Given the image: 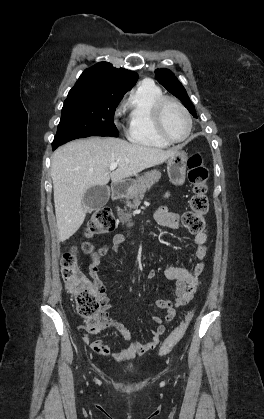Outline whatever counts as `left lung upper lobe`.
<instances>
[{
	"label": "left lung upper lobe",
	"mask_w": 264,
	"mask_h": 419,
	"mask_svg": "<svg viewBox=\"0 0 264 419\" xmlns=\"http://www.w3.org/2000/svg\"><path fill=\"white\" fill-rule=\"evenodd\" d=\"M157 81L164 86L170 93L176 96L180 101L183 102L188 111L197 118L196 111L193 103L188 97L185 88L174 76V74L168 69H161L155 71Z\"/></svg>",
	"instance_id": "left-lung-upper-lobe-1"
}]
</instances>
